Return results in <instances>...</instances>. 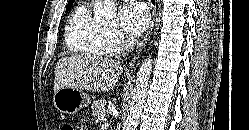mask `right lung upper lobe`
I'll use <instances>...</instances> for the list:
<instances>
[{
  "label": "right lung upper lobe",
  "mask_w": 249,
  "mask_h": 130,
  "mask_svg": "<svg viewBox=\"0 0 249 130\" xmlns=\"http://www.w3.org/2000/svg\"><path fill=\"white\" fill-rule=\"evenodd\" d=\"M74 0H69L68 5L73 4Z\"/></svg>",
  "instance_id": "cb5924a9"
}]
</instances>
